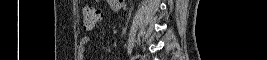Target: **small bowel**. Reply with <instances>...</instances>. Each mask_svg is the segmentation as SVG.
I'll list each match as a JSON object with an SVG mask.
<instances>
[{"mask_svg":"<svg viewBox=\"0 0 267 60\" xmlns=\"http://www.w3.org/2000/svg\"><path fill=\"white\" fill-rule=\"evenodd\" d=\"M88 36H83L82 38H81V44L82 45H86L87 43H88Z\"/></svg>","mask_w":267,"mask_h":60,"instance_id":"c3829d8e","label":"small bowel"}]
</instances>
